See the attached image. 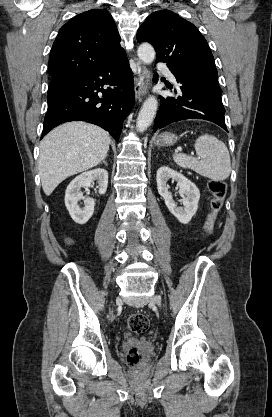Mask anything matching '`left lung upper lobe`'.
I'll return each instance as SVG.
<instances>
[{"label":"left lung upper lobe","instance_id":"1","mask_svg":"<svg viewBox=\"0 0 272 417\" xmlns=\"http://www.w3.org/2000/svg\"><path fill=\"white\" fill-rule=\"evenodd\" d=\"M137 41L151 43L157 62L167 63L171 71L222 92L212 52L192 23L169 10L157 11L141 25Z\"/></svg>","mask_w":272,"mask_h":417}]
</instances>
